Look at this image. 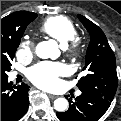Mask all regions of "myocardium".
<instances>
[{"label":"myocardium","instance_id":"myocardium-1","mask_svg":"<svg viewBox=\"0 0 121 121\" xmlns=\"http://www.w3.org/2000/svg\"><path fill=\"white\" fill-rule=\"evenodd\" d=\"M71 55H76L79 51V44L76 40H72L66 47H64Z\"/></svg>","mask_w":121,"mask_h":121}]
</instances>
